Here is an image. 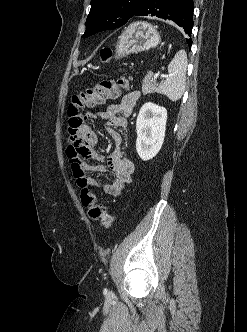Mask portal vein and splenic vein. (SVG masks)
I'll return each instance as SVG.
<instances>
[{"label": "portal vein and splenic vein", "instance_id": "1", "mask_svg": "<svg viewBox=\"0 0 247 332\" xmlns=\"http://www.w3.org/2000/svg\"><path fill=\"white\" fill-rule=\"evenodd\" d=\"M162 77H165V75H163ZM159 78V73H156L155 75H154V80H156V79H158Z\"/></svg>", "mask_w": 247, "mask_h": 332}]
</instances>
